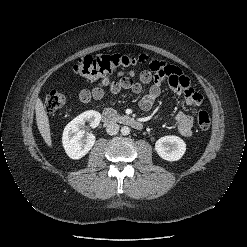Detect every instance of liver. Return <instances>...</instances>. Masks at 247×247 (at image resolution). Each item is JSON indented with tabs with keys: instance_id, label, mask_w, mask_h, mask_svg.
<instances>
[{
	"instance_id": "1",
	"label": "liver",
	"mask_w": 247,
	"mask_h": 247,
	"mask_svg": "<svg viewBox=\"0 0 247 247\" xmlns=\"http://www.w3.org/2000/svg\"><path fill=\"white\" fill-rule=\"evenodd\" d=\"M35 113H36V122H37V127L39 129V132L41 136L43 137L45 143L49 147H51L52 139H51L49 118L47 116L45 107L39 98L36 100Z\"/></svg>"
}]
</instances>
